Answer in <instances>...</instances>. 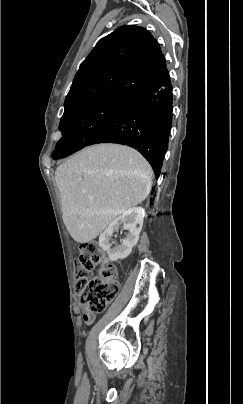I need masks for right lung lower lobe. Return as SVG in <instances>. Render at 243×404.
Wrapping results in <instances>:
<instances>
[{
    "label": "right lung lower lobe",
    "mask_w": 243,
    "mask_h": 404,
    "mask_svg": "<svg viewBox=\"0 0 243 404\" xmlns=\"http://www.w3.org/2000/svg\"><path fill=\"white\" fill-rule=\"evenodd\" d=\"M170 78L129 98L90 141L119 143L138 150L159 177L172 127V86Z\"/></svg>",
    "instance_id": "right-lung-lower-lobe-1"
}]
</instances>
